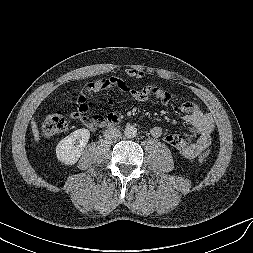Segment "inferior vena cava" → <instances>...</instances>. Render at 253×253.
<instances>
[{
	"mask_svg": "<svg viewBox=\"0 0 253 253\" xmlns=\"http://www.w3.org/2000/svg\"><path fill=\"white\" fill-rule=\"evenodd\" d=\"M122 136L121 132L119 131V129L111 127V128H107L104 131V137L107 140H117Z\"/></svg>",
	"mask_w": 253,
	"mask_h": 253,
	"instance_id": "602c4592",
	"label": "inferior vena cava"
}]
</instances>
